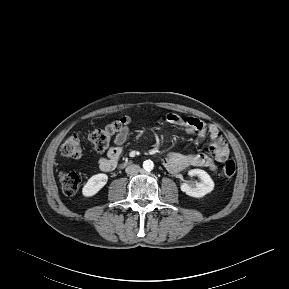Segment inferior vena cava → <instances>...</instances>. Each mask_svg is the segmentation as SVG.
<instances>
[{"label":"inferior vena cava","mask_w":289,"mask_h":289,"mask_svg":"<svg viewBox=\"0 0 289 289\" xmlns=\"http://www.w3.org/2000/svg\"><path fill=\"white\" fill-rule=\"evenodd\" d=\"M127 174H136L141 171V168L139 165H130L125 169Z\"/></svg>","instance_id":"602c4592"}]
</instances>
